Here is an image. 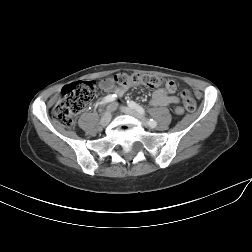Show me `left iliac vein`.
Returning <instances> with one entry per match:
<instances>
[{
	"instance_id": "4c4485c4",
	"label": "left iliac vein",
	"mask_w": 252,
	"mask_h": 252,
	"mask_svg": "<svg viewBox=\"0 0 252 252\" xmlns=\"http://www.w3.org/2000/svg\"><path fill=\"white\" fill-rule=\"evenodd\" d=\"M112 107H114V105H112ZM121 111L127 115L134 116L135 118L140 120L144 125H147L146 119L141 114L137 113L135 110L129 107L122 106Z\"/></svg>"
}]
</instances>
